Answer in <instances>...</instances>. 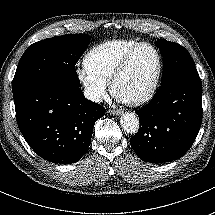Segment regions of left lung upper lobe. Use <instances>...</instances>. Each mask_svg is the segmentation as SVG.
Here are the masks:
<instances>
[{
	"label": "left lung upper lobe",
	"instance_id": "obj_1",
	"mask_svg": "<svg viewBox=\"0 0 215 215\" xmlns=\"http://www.w3.org/2000/svg\"><path fill=\"white\" fill-rule=\"evenodd\" d=\"M155 45L163 56L161 84L185 71L196 69L189 52L179 44L158 39Z\"/></svg>",
	"mask_w": 215,
	"mask_h": 215
}]
</instances>
